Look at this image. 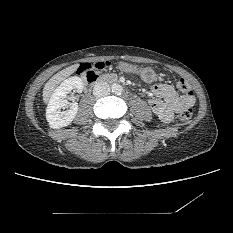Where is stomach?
Returning <instances> with one entry per match:
<instances>
[{
    "instance_id": "stomach-1",
    "label": "stomach",
    "mask_w": 233,
    "mask_h": 233,
    "mask_svg": "<svg viewBox=\"0 0 233 233\" xmlns=\"http://www.w3.org/2000/svg\"><path fill=\"white\" fill-rule=\"evenodd\" d=\"M117 67L121 71L139 75L140 78L148 84L153 83L158 79V75L152 69L138 68V67H136L132 64L126 63V62H119L117 64Z\"/></svg>"
}]
</instances>
